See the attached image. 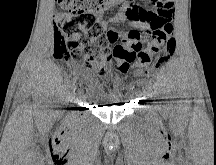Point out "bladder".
I'll use <instances>...</instances> for the list:
<instances>
[{
    "label": "bladder",
    "mask_w": 216,
    "mask_h": 165,
    "mask_svg": "<svg viewBox=\"0 0 216 165\" xmlns=\"http://www.w3.org/2000/svg\"><path fill=\"white\" fill-rule=\"evenodd\" d=\"M110 86H119V81H100L99 90H110ZM91 95H94L91 91H89ZM108 97H113V92L107 93ZM88 99L92 98L90 95H86ZM94 100H105V95H94ZM111 104L110 102L108 103ZM118 105V104H115Z\"/></svg>",
    "instance_id": "bladder-1"
}]
</instances>
